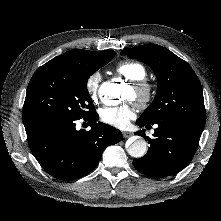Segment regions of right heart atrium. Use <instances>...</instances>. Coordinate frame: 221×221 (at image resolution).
Instances as JSON below:
<instances>
[{
  "instance_id": "1",
  "label": "right heart atrium",
  "mask_w": 221,
  "mask_h": 221,
  "mask_svg": "<svg viewBox=\"0 0 221 221\" xmlns=\"http://www.w3.org/2000/svg\"><path fill=\"white\" fill-rule=\"evenodd\" d=\"M101 82H102V75L98 71L91 73L87 77L85 82V88L92 100L97 99Z\"/></svg>"
}]
</instances>
